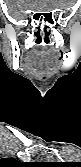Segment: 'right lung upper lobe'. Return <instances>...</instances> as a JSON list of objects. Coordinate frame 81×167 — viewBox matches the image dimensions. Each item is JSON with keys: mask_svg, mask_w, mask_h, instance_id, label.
<instances>
[{"mask_svg": "<svg viewBox=\"0 0 81 167\" xmlns=\"http://www.w3.org/2000/svg\"><path fill=\"white\" fill-rule=\"evenodd\" d=\"M3 161H4V164L11 165V166L18 165V163H19L18 161L14 160L12 158H4Z\"/></svg>", "mask_w": 81, "mask_h": 167, "instance_id": "1", "label": "right lung upper lobe"}]
</instances>
